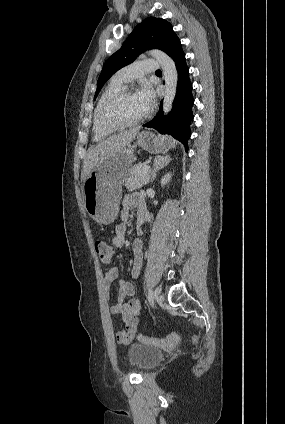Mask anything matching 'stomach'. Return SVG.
Returning a JSON list of instances; mask_svg holds the SVG:
<instances>
[{
    "label": "stomach",
    "instance_id": "obj_1",
    "mask_svg": "<svg viewBox=\"0 0 285 424\" xmlns=\"http://www.w3.org/2000/svg\"><path fill=\"white\" fill-rule=\"evenodd\" d=\"M172 145L170 137L143 131L138 134L134 145L124 147L97 165L83 185L85 209L90 217L105 225L116 219L122 186L130 175L136 146L150 153H161L168 151Z\"/></svg>",
    "mask_w": 285,
    "mask_h": 424
}]
</instances>
